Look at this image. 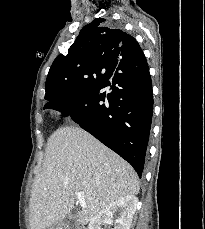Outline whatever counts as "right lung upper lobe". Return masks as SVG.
I'll return each mask as SVG.
<instances>
[{"label": "right lung upper lobe", "instance_id": "cb5924a9", "mask_svg": "<svg viewBox=\"0 0 205 229\" xmlns=\"http://www.w3.org/2000/svg\"><path fill=\"white\" fill-rule=\"evenodd\" d=\"M140 55L143 52L132 36L106 19H95L81 29L68 54L54 60L45 99L51 102L80 92L97 76L111 77L119 64L133 66Z\"/></svg>", "mask_w": 205, "mask_h": 229}]
</instances>
